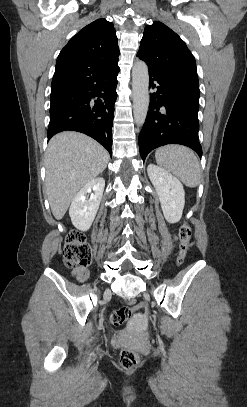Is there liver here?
I'll list each match as a JSON object with an SVG mask.
<instances>
[{"instance_id": "liver-1", "label": "liver", "mask_w": 247, "mask_h": 407, "mask_svg": "<svg viewBox=\"0 0 247 407\" xmlns=\"http://www.w3.org/2000/svg\"><path fill=\"white\" fill-rule=\"evenodd\" d=\"M108 162V152L82 133L66 131L50 140L45 155V187L57 220L63 218L78 191L101 174Z\"/></svg>"}]
</instances>
